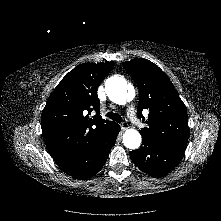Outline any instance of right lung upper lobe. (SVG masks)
Listing matches in <instances>:
<instances>
[{"mask_svg":"<svg viewBox=\"0 0 221 221\" xmlns=\"http://www.w3.org/2000/svg\"><path fill=\"white\" fill-rule=\"evenodd\" d=\"M114 62L80 64L61 80L42 111L44 142L60 165L73 160L116 125L100 116L97 89ZM92 111L96 115L90 118Z\"/></svg>","mask_w":221,"mask_h":221,"instance_id":"obj_1","label":"right lung upper lobe"}]
</instances>
